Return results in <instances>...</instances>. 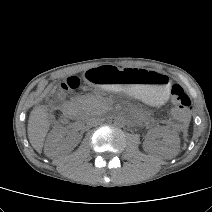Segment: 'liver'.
<instances>
[{"label":"liver","mask_w":212,"mask_h":212,"mask_svg":"<svg viewBox=\"0 0 212 212\" xmlns=\"http://www.w3.org/2000/svg\"><path fill=\"white\" fill-rule=\"evenodd\" d=\"M55 89H53V92ZM50 127L49 114L45 106L35 107L28 120V138L33 148L41 153L43 143Z\"/></svg>","instance_id":"liver-1"}]
</instances>
